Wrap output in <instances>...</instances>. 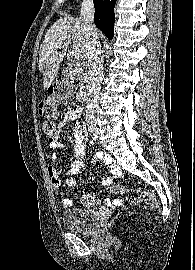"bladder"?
Masks as SVG:
<instances>
[{"label":"bladder","instance_id":"1","mask_svg":"<svg viewBox=\"0 0 195 270\" xmlns=\"http://www.w3.org/2000/svg\"><path fill=\"white\" fill-rule=\"evenodd\" d=\"M98 213L93 208L66 210L62 214L63 226L74 233L90 232L97 221Z\"/></svg>","mask_w":195,"mask_h":270}]
</instances>
